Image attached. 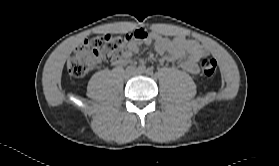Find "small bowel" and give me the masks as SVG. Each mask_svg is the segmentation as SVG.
<instances>
[{"label":"small bowel","mask_w":279,"mask_h":166,"mask_svg":"<svg viewBox=\"0 0 279 166\" xmlns=\"http://www.w3.org/2000/svg\"><path fill=\"white\" fill-rule=\"evenodd\" d=\"M144 34L142 39L132 42L123 57L114 61L117 65H126L131 62L132 56L138 53L141 45L153 44L155 50L159 54H166L168 62L181 61V67L191 74H197L198 60L207 53L206 49L197 41L187 39L182 35L174 38H167L157 33H147L143 29H139Z\"/></svg>","instance_id":"1"}]
</instances>
